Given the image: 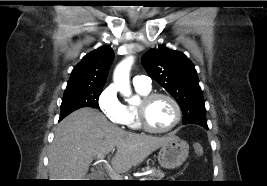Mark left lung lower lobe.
Returning a JSON list of instances; mask_svg holds the SVG:
<instances>
[{
  "mask_svg": "<svg viewBox=\"0 0 267 186\" xmlns=\"http://www.w3.org/2000/svg\"><path fill=\"white\" fill-rule=\"evenodd\" d=\"M204 128L208 129V126H206V127H204Z\"/></svg>",
  "mask_w": 267,
  "mask_h": 186,
  "instance_id": "left-lung-lower-lobe-1",
  "label": "left lung lower lobe"
}]
</instances>
